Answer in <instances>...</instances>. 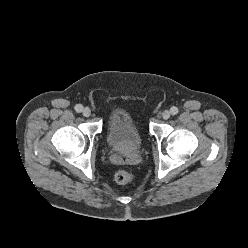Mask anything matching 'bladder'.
Returning a JSON list of instances; mask_svg holds the SVG:
<instances>
[{"instance_id":"1","label":"bladder","mask_w":248,"mask_h":248,"mask_svg":"<svg viewBox=\"0 0 248 248\" xmlns=\"http://www.w3.org/2000/svg\"><path fill=\"white\" fill-rule=\"evenodd\" d=\"M106 140L110 148L122 154L139 150L143 137L126 111H113L107 122Z\"/></svg>"}]
</instances>
